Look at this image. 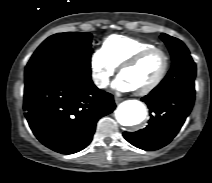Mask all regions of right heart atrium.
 <instances>
[{"mask_svg": "<svg viewBox=\"0 0 212 183\" xmlns=\"http://www.w3.org/2000/svg\"><path fill=\"white\" fill-rule=\"evenodd\" d=\"M93 82L98 88H106L116 71V66L102 48L96 50L90 60Z\"/></svg>", "mask_w": 212, "mask_h": 183, "instance_id": "1", "label": "right heart atrium"}]
</instances>
